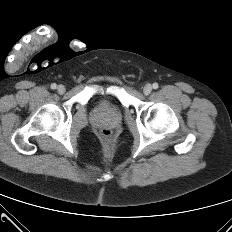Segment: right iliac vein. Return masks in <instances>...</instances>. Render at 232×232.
<instances>
[{
	"label": "right iliac vein",
	"instance_id": "63e3f726",
	"mask_svg": "<svg viewBox=\"0 0 232 232\" xmlns=\"http://www.w3.org/2000/svg\"><path fill=\"white\" fill-rule=\"evenodd\" d=\"M57 91H58L59 94H63L66 91V88H65L64 85H59L57 87Z\"/></svg>",
	"mask_w": 232,
	"mask_h": 232
}]
</instances>
